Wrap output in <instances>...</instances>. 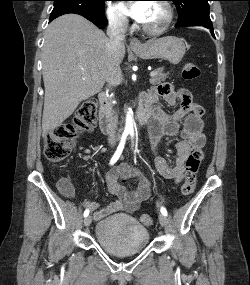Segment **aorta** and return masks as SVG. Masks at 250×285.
Listing matches in <instances>:
<instances>
[{
  "label": "aorta",
  "instance_id": "762f6f07",
  "mask_svg": "<svg viewBox=\"0 0 250 285\" xmlns=\"http://www.w3.org/2000/svg\"><path fill=\"white\" fill-rule=\"evenodd\" d=\"M132 110L129 109L126 115V124L124 129V134H133L134 126H133V119H132Z\"/></svg>",
  "mask_w": 250,
  "mask_h": 285
}]
</instances>
